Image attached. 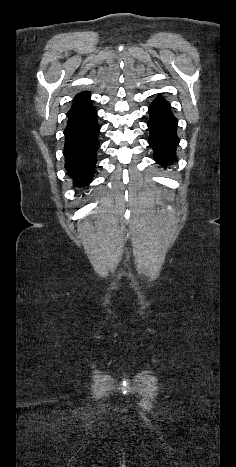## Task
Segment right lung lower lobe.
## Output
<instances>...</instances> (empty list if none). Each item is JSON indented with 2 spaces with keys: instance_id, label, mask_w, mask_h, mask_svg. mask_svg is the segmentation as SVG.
<instances>
[{
  "instance_id": "98d812e1",
  "label": "right lung lower lobe",
  "mask_w": 236,
  "mask_h": 467,
  "mask_svg": "<svg viewBox=\"0 0 236 467\" xmlns=\"http://www.w3.org/2000/svg\"><path fill=\"white\" fill-rule=\"evenodd\" d=\"M96 117V110L90 100L68 112V124L64 131L65 168L78 186L88 185L93 179L96 151L99 148Z\"/></svg>"
}]
</instances>
